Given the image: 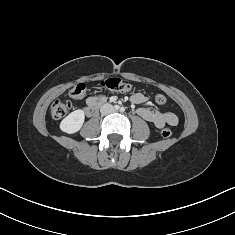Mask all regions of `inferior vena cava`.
<instances>
[{"mask_svg": "<svg viewBox=\"0 0 235 235\" xmlns=\"http://www.w3.org/2000/svg\"><path fill=\"white\" fill-rule=\"evenodd\" d=\"M115 111L114 107L111 104H104L101 108H100V112L102 115H107L110 113H113Z\"/></svg>", "mask_w": 235, "mask_h": 235, "instance_id": "inferior-vena-cava-1", "label": "inferior vena cava"}]
</instances>
